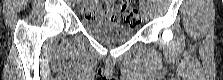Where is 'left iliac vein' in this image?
<instances>
[{"mask_svg": "<svg viewBox=\"0 0 223 80\" xmlns=\"http://www.w3.org/2000/svg\"><path fill=\"white\" fill-rule=\"evenodd\" d=\"M140 10H141V14H142V18H143V21H148L149 19V11H148V7L146 4H142L141 7H140Z\"/></svg>", "mask_w": 223, "mask_h": 80, "instance_id": "4c4485c4", "label": "left iliac vein"}]
</instances>
